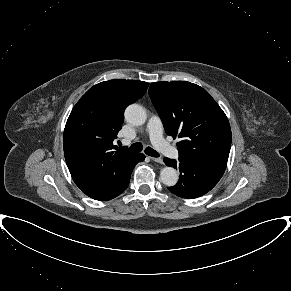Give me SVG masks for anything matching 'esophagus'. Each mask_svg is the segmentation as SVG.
Masks as SVG:
<instances>
[{
  "label": "esophagus",
  "mask_w": 291,
  "mask_h": 291,
  "mask_svg": "<svg viewBox=\"0 0 291 291\" xmlns=\"http://www.w3.org/2000/svg\"><path fill=\"white\" fill-rule=\"evenodd\" d=\"M151 160L160 164H163V159L158 157H151Z\"/></svg>",
  "instance_id": "34e87169"
}]
</instances>
